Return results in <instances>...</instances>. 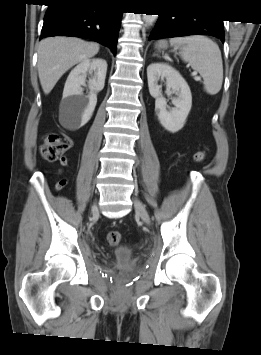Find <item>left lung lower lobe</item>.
I'll return each instance as SVG.
<instances>
[{"mask_svg": "<svg viewBox=\"0 0 261 355\" xmlns=\"http://www.w3.org/2000/svg\"><path fill=\"white\" fill-rule=\"evenodd\" d=\"M150 34L153 38H173L186 35H209L224 42L223 21L210 18L159 15Z\"/></svg>", "mask_w": 261, "mask_h": 355, "instance_id": "obj_1", "label": "left lung lower lobe"}]
</instances>
